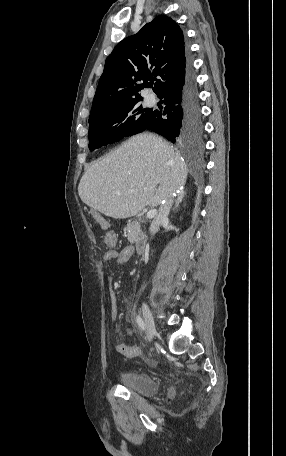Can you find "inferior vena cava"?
<instances>
[{"label": "inferior vena cava", "instance_id": "obj_1", "mask_svg": "<svg viewBox=\"0 0 286 456\" xmlns=\"http://www.w3.org/2000/svg\"><path fill=\"white\" fill-rule=\"evenodd\" d=\"M173 197H174V195L168 196V197H165V199H163L161 201L159 210L150 225V232L152 235H154L158 231L160 225L163 222L168 220V215H169L172 203H173Z\"/></svg>", "mask_w": 286, "mask_h": 456}]
</instances>
